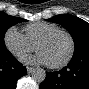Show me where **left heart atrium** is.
I'll list each match as a JSON object with an SVG mask.
<instances>
[{
	"mask_svg": "<svg viewBox=\"0 0 89 89\" xmlns=\"http://www.w3.org/2000/svg\"><path fill=\"white\" fill-rule=\"evenodd\" d=\"M23 61L26 62V63H36V64H44V65L49 64L47 58L41 52H38L34 56L24 57Z\"/></svg>",
	"mask_w": 89,
	"mask_h": 89,
	"instance_id": "obj_1",
	"label": "left heart atrium"
}]
</instances>
